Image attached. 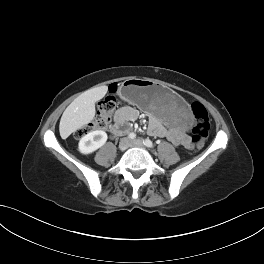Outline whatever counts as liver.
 Segmentation results:
<instances>
[{"mask_svg": "<svg viewBox=\"0 0 264 264\" xmlns=\"http://www.w3.org/2000/svg\"><path fill=\"white\" fill-rule=\"evenodd\" d=\"M107 91V86L95 87L74 99L60 120L59 131L63 139L93 120L96 113L95 102L102 99Z\"/></svg>", "mask_w": 264, "mask_h": 264, "instance_id": "liver-1", "label": "liver"}]
</instances>
